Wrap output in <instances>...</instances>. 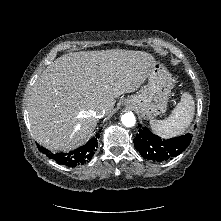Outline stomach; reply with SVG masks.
Instances as JSON below:
<instances>
[{"mask_svg": "<svg viewBox=\"0 0 221 221\" xmlns=\"http://www.w3.org/2000/svg\"><path fill=\"white\" fill-rule=\"evenodd\" d=\"M147 79L146 87L129 97L126 104L135 108L144 119H151L166 110L173 80L165 67L156 61Z\"/></svg>", "mask_w": 221, "mask_h": 221, "instance_id": "stomach-1", "label": "stomach"}]
</instances>
